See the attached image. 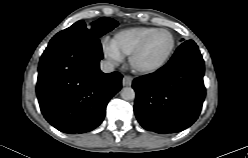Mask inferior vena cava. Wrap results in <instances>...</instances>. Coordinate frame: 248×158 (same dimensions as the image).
Returning a JSON list of instances; mask_svg holds the SVG:
<instances>
[{
    "mask_svg": "<svg viewBox=\"0 0 248 158\" xmlns=\"http://www.w3.org/2000/svg\"><path fill=\"white\" fill-rule=\"evenodd\" d=\"M100 69L104 73H111L114 71V64L108 60L101 61L100 62Z\"/></svg>",
    "mask_w": 248,
    "mask_h": 158,
    "instance_id": "602c4592",
    "label": "inferior vena cava"
}]
</instances>
